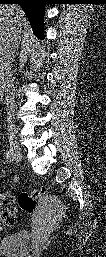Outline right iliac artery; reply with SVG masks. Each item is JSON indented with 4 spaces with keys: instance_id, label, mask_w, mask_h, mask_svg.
<instances>
[{
    "instance_id": "right-iliac-artery-1",
    "label": "right iliac artery",
    "mask_w": 106,
    "mask_h": 257,
    "mask_svg": "<svg viewBox=\"0 0 106 257\" xmlns=\"http://www.w3.org/2000/svg\"><path fill=\"white\" fill-rule=\"evenodd\" d=\"M6 159H7L8 163H11V161H12V154H11V150L10 149L7 150V152H6Z\"/></svg>"
}]
</instances>
